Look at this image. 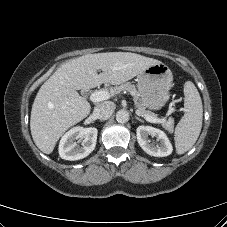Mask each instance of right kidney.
<instances>
[{
    "mask_svg": "<svg viewBox=\"0 0 227 227\" xmlns=\"http://www.w3.org/2000/svg\"><path fill=\"white\" fill-rule=\"evenodd\" d=\"M98 130L95 127H74L66 132L59 143V155L65 160H79L87 157L96 146ZM83 139L81 146L76 140Z\"/></svg>",
    "mask_w": 227,
    "mask_h": 227,
    "instance_id": "right-kidney-1",
    "label": "right kidney"
}]
</instances>
